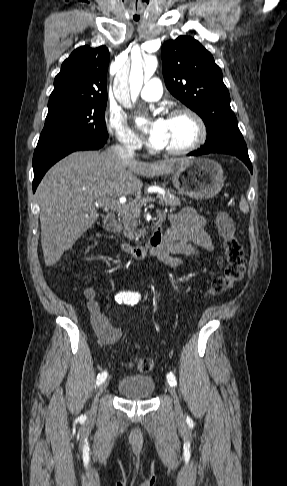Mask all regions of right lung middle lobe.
<instances>
[{
  "label": "right lung middle lobe",
  "instance_id": "1",
  "mask_svg": "<svg viewBox=\"0 0 287 486\" xmlns=\"http://www.w3.org/2000/svg\"><path fill=\"white\" fill-rule=\"evenodd\" d=\"M107 100H83L48 107L36 148L71 142H103L108 133L104 113Z\"/></svg>",
  "mask_w": 287,
  "mask_h": 486
}]
</instances>
